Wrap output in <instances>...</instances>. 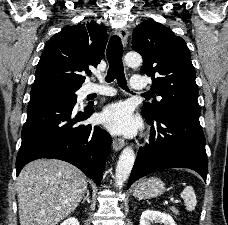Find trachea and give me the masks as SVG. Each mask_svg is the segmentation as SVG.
Here are the masks:
<instances>
[{
  "instance_id": "3493384b",
  "label": "trachea",
  "mask_w": 228,
  "mask_h": 225,
  "mask_svg": "<svg viewBox=\"0 0 228 225\" xmlns=\"http://www.w3.org/2000/svg\"><path fill=\"white\" fill-rule=\"evenodd\" d=\"M106 54L107 60L109 62L106 82H113V80L116 78L119 87L128 90L122 62L123 47L121 39L118 37V35H113L110 38ZM88 75H91V73ZM144 96L146 98H151L149 94H144Z\"/></svg>"
}]
</instances>
